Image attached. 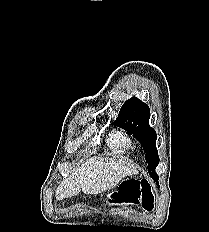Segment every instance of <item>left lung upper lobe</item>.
Wrapping results in <instances>:
<instances>
[{
	"label": "left lung upper lobe",
	"instance_id": "1",
	"mask_svg": "<svg viewBox=\"0 0 209 232\" xmlns=\"http://www.w3.org/2000/svg\"><path fill=\"white\" fill-rule=\"evenodd\" d=\"M150 110L146 103L136 97L127 100L120 109L115 125L132 134L142 145L148 163V172L154 181L158 183V175L155 168L159 164V156L156 148L157 134L149 126Z\"/></svg>",
	"mask_w": 209,
	"mask_h": 232
}]
</instances>
